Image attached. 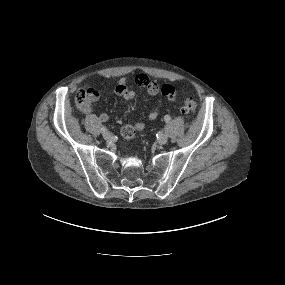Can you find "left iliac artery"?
<instances>
[{
    "label": "left iliac artery",
    "instance_id": "44dca946",
    "mask_svg": "<svg viewBox=\"0 0 285 285\" xmlns=\"http://www.w3.org/2000/svg\"><path fill=\"white\" fill-rule=\"evenodd\" d=\"M164 119H165L166 122H169L170 119H171V117H170L169 115H166V116L164 117Z\"/></svg>",
    "mask_w": 285,
    "mask_h": 285
}]
</instances>
